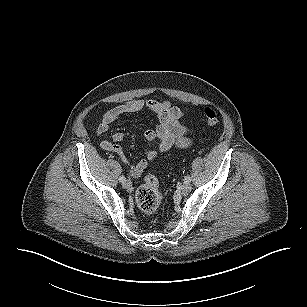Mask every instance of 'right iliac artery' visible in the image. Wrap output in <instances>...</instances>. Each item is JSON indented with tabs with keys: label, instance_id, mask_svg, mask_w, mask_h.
Masks as SVG:
<instances>
[{
	"label": "right iliac artery",
	"instance_id": "right-iliac-artery-1",
	"mask_svg": "<svg viewBox=\"0 0 307 307\" xmlns=\"http://www.w3.org/2000/svg\"><path fill=\"white\" fill-rule=\"evenodd\" d=\"M125 180H126V178H125L124 176H120L119 181H120L121 183H123Z\"/></svg>",
	"mask_w": 307,
	"mask_h": 307
}]
</instances>
